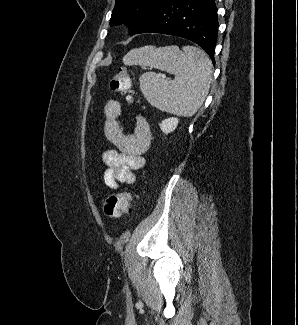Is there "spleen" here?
<instances>
[{"label":"spleen","instance_id":"3e777b00","mask_svg":"<svg viewBox=\"0 0 298 325\" xmlns=\"http://www.w3.org/2000/svg\"><path fill=\"white\" fill-rule=\"evenodd\" d=\"M126 66L139 64L175 74L173 80L160 78L156 72H143L139 84L149 104L177 114L192 116L202 106L210 88L212 62L197 46H139L123 56Z\"/></svg>","mask_w":298,"mask_h":325}]
</instances>
